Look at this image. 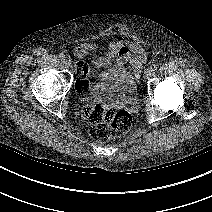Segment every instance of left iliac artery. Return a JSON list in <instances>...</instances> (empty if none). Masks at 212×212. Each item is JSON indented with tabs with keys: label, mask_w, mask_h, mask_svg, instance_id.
I'll use <instances>...</instances> for the list:
<instances>
[{
	"label": "left iliac artery",
	"mask_w": 212,
	"mask_h": 212,
	"mask_svg": "<svg viewBox=\"0 0 212 212\" xmlns=\"http://www.w3.org/2000/svg\"><path fill=\"white\" fill-rule=\"evenodd\" d=\"M156 69H157V65L156 64H153V65H151V67H150V70H151V72L153 71H156Z\"/></svg>",
	"instance_id": "left-iliac-artery-1"
}]
</instances>
